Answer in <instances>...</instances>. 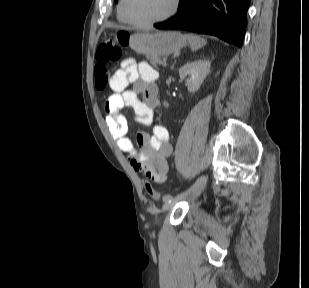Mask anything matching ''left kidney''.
Segmentation results:
<instances>
[{"instance_id": "left-kidney-1", "label": "left kidney", "mask_w": 309, "mask_h": 288, "mask_svg": "<svg viewBox=\"0 0 309 288\" xmlns=\"http://www.w3.org/2000/svg\"><path fill=\"white\" fill-rule=\"evenodd\" d=\"M211 62L206 59H199L185 64L179 69V76L186 80V86L190 93H195L203 83L204 79L210 71ZM164 106L168 107V103L164 102Z\"/></svg>"}]
</instances>
